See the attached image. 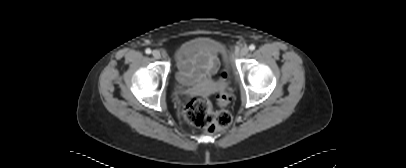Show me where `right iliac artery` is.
<instances>
[{
  "label": "right iliac artery",
  "instance_id": "1",
  "mask_svg": "<svg viewBox=\"0 0 406 168\" xmlns=\"http://www.w3.org/2000/svg\"><path fill=\"white\" fill-rule=\"evenodd\" d=\"M145 52H146V54H151V49L147 48V49L145 50Z\"/></svg>",
  "mask_w": 406,
  "mask_h": 168
}]
</instances>
